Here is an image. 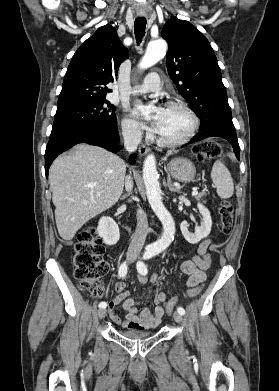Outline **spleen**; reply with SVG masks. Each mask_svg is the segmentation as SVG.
Listing matches in <instances>:
<instances>
[{
  "label": "spleen",
  "mask_w": 279,
  "mask_h": 391,
  "mask_svg": "<svg viewBox=\"0 0 279 391\" xmlns=\"http://www.w3.org/2000/svg\"><path fill=\"white\" fill-rule=\"evenodd\" d=\"M211 178L220 198L227 199L233 195L234 185L231 174L221 161L217 160L213 164Z\"/></svg>",
  "instance_id": "1"
}]
</instances>
